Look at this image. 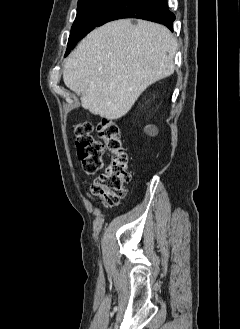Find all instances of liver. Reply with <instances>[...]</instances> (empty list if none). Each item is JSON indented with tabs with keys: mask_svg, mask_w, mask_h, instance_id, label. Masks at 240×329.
I'll list each match as a JSON object with an SVG mask.
<instances>
[{
	"mask_svg": "<svg viewBox=\"0 0 240 329\" xmlns=\"http://www.w3.org/2000/svg\"><path fill=\"white\" fill-rule=\"evenodd\" d=\"M177 41L164 26L121 19L90 32L64 64L65 85L94 115L116 120L174 70Z\"/></svg>",
	"mask_w": 240,
	"mask_h": 329,
	"instance_id": "obj_1",
	"label": "liver"
}]
</instances>
